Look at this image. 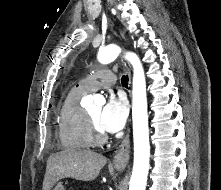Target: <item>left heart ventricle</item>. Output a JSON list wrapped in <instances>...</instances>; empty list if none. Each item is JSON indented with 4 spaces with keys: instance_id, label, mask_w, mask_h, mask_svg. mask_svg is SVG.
<instances>
[{
    "instance_id": "b2bd125f",
    "label": "left heart ventricle",
    "mask_w": 221,
    "mask_h": 190,
    "mask_svg": "<svg viewBox=\"0 0 221 190\" xmlns=\"http://www.w3.org/2000/svg\"><path fill=\"white\" fill-rule=\"evenodd\" d=\"M101 111H102L101 106H94L88 111L93 123L99 130H101L99 127V119H100Z\"/></svg>"
}]
</instances>
